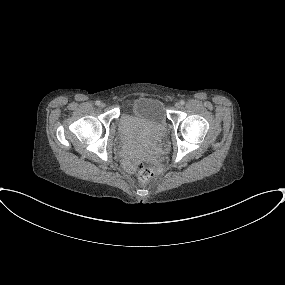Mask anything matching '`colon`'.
<instances>
[{
	"mask_svg": "<svg viewBox=\"0 0 285 285\" xmlns=\"http://www.w3.org/2000/svg\"><path fill=\"white\" fill-rule=\"evenodd\" d=\"M158 166L159 162L154 158H151L149 160V165L138 163L132 165V169L138 172V177L141 181H148L155 176Z\"/></svg>",
	"mask_w": 285,
	"mask_h": 285,
	"instance_id": "colon-1",
	"label": "colon"
}]
</instances>
